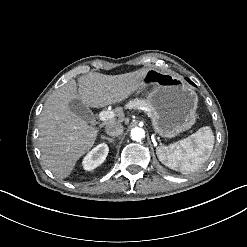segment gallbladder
<instances>
[{"mask_svg":"<svg viewBox=\"0 0 247 247\" xmlns=\"http://www.w3.org/2000/svg\"><path fill=\"white\" fill-rule=\"evenodd\" d=\"M69 108L73 113H75L77 116L81 117L85 121H90V118L93 117L92 111L80 99H74L70 101Z\"/></svg>","mask_w":247,"mask_h":247,"instance_id":"obj_1","label":"gallbladder"}]
</instances>
